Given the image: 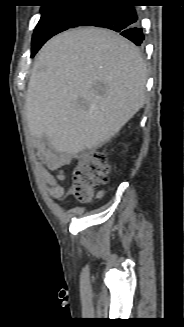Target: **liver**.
I'll return each instance as SVG.
<instances>
[{
	"instance_id": "liver-1",
	"label": "liver",
	"mask_w": 184,
	"mask_h": 327,
	"mask_svg": "<svg viewBox=\"0 0 184 327\" xmlns=\"http://www.w3.org/2000/svg\"><path fill=\"white\" fill-rule=\"evenodd\" d=\"M147 71L136 46L98 28L63 32L40 50L26 92L30 133L76 155L110 140L143 107Z\"/></svg>"
}]
</instances>
